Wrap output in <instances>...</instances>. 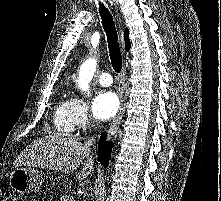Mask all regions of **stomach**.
I'll return each instance as SVG.
<instances>
[{"instance_id":"1","label":"stomach","mask_w":221,"mask_h":201,"mask_svg":"<svg viewBox=\"0 0 221 201\" xmlns=\"http://www.w3.org/2000/svg\"><path fill=\"white\" fill-rule=\"evenodd\" d=\"M44 182L40 171L31 167H17L10 174L9 185L19 194L38 191Z\"/></svg>"}]
</instances>
